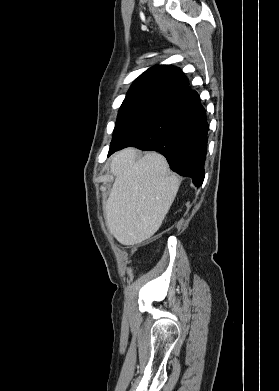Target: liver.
Wrapping results in <instances>:
<instances>
[{
  "label": "liver",
  "mask_w": 279,
  "mask_h": 391,
  "mask_svg": "<svg viewBox=\"0 0 279 391\" xmlns=\"http://www.w3.org/2000/svg\"><path fill=\"white\" fill-rule=\"evenodd\" d=\"M115 181L104 206L111 234L123 245H136L160 228L178 192L179 179L169 172L164 156L126 148L111 161Z\"/></svg>",
  "instance_id": "obj_1"
}]
</instances>
